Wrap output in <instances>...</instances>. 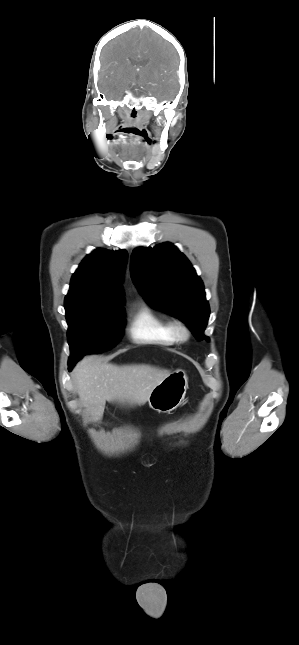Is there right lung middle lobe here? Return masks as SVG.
Returning a JSON list of instances; mask_svg holds the SVG:
<instances>
[{
	"label": "right lung middle lobe",
	"mask_w": 299,
	"mask_h": 645,
	"mask_svg": "<svg viewBox=\"0 0 299 645\" xmlns=\"http://www.w3.org/2000/svg\"><path fill=\"white\" fill-rule=\"evenodd\" d=\"M65 311L71 351L69 368L86 353L113 348L122 337L125 319L120 305L68 304Z\"/></svg>",
	"instance_id": "obj_1"
}]
</instances>
